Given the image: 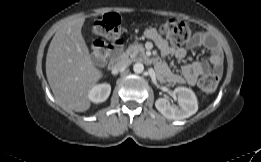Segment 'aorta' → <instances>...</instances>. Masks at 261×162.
Segmentation results:
<instances>
[{"label": "aorta", "mask_w": 261, "mask_h": 162, "mask_svg": "<svg viewBox=\"0 0 261 162\" xmlns=\"http://www.w3.org/2000/svg\"><path fill=\"white\" fill-rule=\"evenodd\" d=\"M133 70L136 74H140L144 71V66L142 63H135L133 66Z\"/></svg>", "instance_id": "1"}]
</instances>
